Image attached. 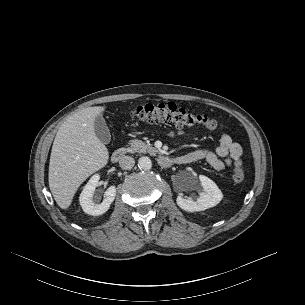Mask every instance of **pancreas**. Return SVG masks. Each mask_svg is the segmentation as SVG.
<instances>
[{"label": "pancreas", "instance_id": "cf45deb5", "mask_svg": "<svg viewBox=\"0 0 305 305\" xmlns=\"http://www.w3.org/2000/svg\"><path fill=\"white\" fill-rule=\"evenodd\" d=\"M129 153H149L155 155L157 150L151 146L150 143L143 142L141 140H131L128 143V147L124 149Z\"/></svg>", "mask_w": 305, "mask_h": 305}]
</instances>
